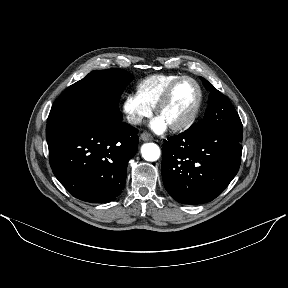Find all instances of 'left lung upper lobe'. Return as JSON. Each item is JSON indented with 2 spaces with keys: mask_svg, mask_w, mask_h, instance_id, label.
<instances>
[{
  "mask_svg": "<svg viewBox=\"0 0 288 288\" xmlns=\"http://www.w3.org/2000/svg\"><path fill=\"white\" fill-rule=\"evenodd\" d=\"M204 87L210 92L208 108L204 119L194 123L191 127H208L217 131L225 132L237 137L242 141L243 126L238 113L228 97L223 96L211 83L200 77Z\"/></svg>",
  "mask_w": 288,
  "mask_h": 288,
  "instance_id": "obj_1",
  "label": "left lung upper lobe"
}]
</instances>
